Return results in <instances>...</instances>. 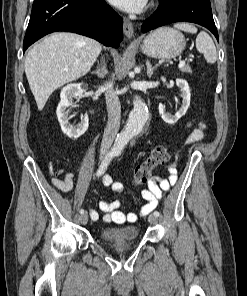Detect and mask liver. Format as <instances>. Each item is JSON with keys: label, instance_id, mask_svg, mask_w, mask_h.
<instances>
[{"label": "liver", "instance_id": "liver-1", "mask_svg": "<svg viewBox=\"0 0 247 296\" xmlns=\"http://www.w3.org/2000/svg\"><path fill=\"white\" fill-rule=\"evenodd\" d=\"M102 46L75 33L57 32L28 51L25 73L41 111L57 88L86 75Z\"/></svg>", "mask_w": 247, "mask_h": 296}]
</instances>
